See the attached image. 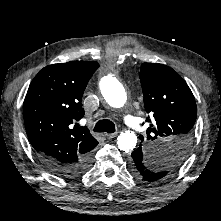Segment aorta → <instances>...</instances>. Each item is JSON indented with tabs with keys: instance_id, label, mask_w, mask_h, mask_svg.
<instances>
[{
	"instance_id": "762f6f07",
	"label": "aorta",
	"mask_w": 221,
	"mask_h": 221,
	"mask_svg": "<svg viewBox=\"0 0 221 221\" xmlns=\"http://www.w3.org/2000/svg\"><path fill=\"white\" fill-rule=\"evenodd\" d=\"M101 93L106 102L114 108H121L126 103L127 95L123 85L114 77H103L100 82ZM137 144V136L133 131L121 132L117 138L118 148L122 151H132Z\"/></svg>"
}]
</instances>
